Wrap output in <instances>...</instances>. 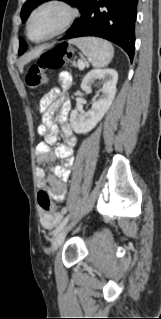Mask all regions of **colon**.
I'll use <instances>...</instances> for the list:
<instances>
[{
  "label": "colon",
  "instance_id": "5ec220e1",
  "mask_svg": "<svg viewBox=\"0 0 161 319\" xmlns=\"http://www.w3.org/2000/svg\"><path fill=\"white\" fill-rule=\"evenodd\" d=\"M72 49L68 45L60 44L43 53L37 62L30 65L26 73L27 84L35 89L47 81L45 69L57 70L62 68L71 58ZM40 207L50 211L55 207L50 194L47 191H40L38 194Z\"/></svg>",
  "mask_w": 161,
  "mask_h": 319
}]
</instances>
